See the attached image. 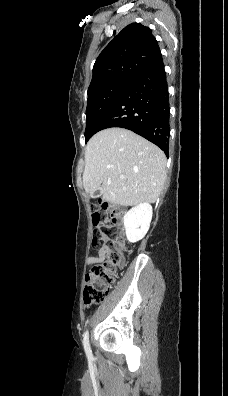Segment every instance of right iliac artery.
<instances>
[{
  "label": "right iliac artery",
  "mask_w": 228,
  "mask_h": 396,
  "mask_svg": "<svg viewBox=\"0 0 228 396\" xmlns=\"http://www.w3.org/2000/svg\"><path fill=\"white\" fill-rule=\"evenodd\" d=\"M83 345L88 358H92V351L89 344L88 331L84 333Z\"/></svg>",
  "instance_id": "obj_1"
}]
</instances>
